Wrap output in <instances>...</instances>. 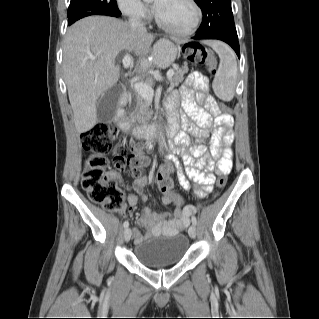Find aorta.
I'll return each mask as SVG.
<instances>
[{
    "label": "aorta",
    "instance_id": "aorta-1",
    "mask_svg": "<svg viewBox=\"0 0 319 319\" xmlns=\"http://www.w3.org/2000/svg\"><path fill=\"white\" fill-rule=\"evenodd\" d=\"M160 137L161 138H159V147H160V150H161V147H163V144H164V137L161 134H160Z\"/></svg>",
    "mask_w": 319,
    "mask_h": 319
}]
</instances>
